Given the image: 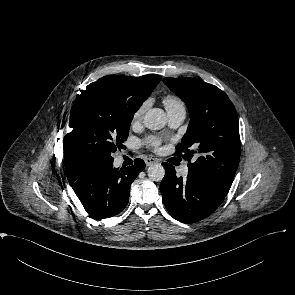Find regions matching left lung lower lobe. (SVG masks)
<instances>
[{
    "mask_svg": "<svg viewBox=\"0 0 295 295\" xmlns=\"http://www.w3.org/2000/svg\"><path fill=\"white\" fill-rule=\"evenodd\" d=\"M165 176L160 184L162 200L170 215L181 222L194 223L211 215L223 202L226 193L207 179L188 173L176 176L174 166L162 163Z\"/></svg>",
    "mask_w": 295,
    "mask_h": 295,
    "instance_id": "obj_1",
    "label": "left lung lower lobe"
}]
</instances>
